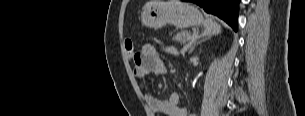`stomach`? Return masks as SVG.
<instances>
[{"label":"stomach","mask_w":305,"mask_h":116,"mask_svg":"<svg viewBox=\"0 0 305 116\" xmlns=\"http://www.w3.org/2000/svg\"><path fill=\"white\" fill-rule=\"evenodd\" d=\"M143 26L162 28L167 24L177 28L199 26L203 23L200 11L182 1L157 2L148 7L141 16Z\"/></svg>","instance_id":"obj_1"}]
</instances>
